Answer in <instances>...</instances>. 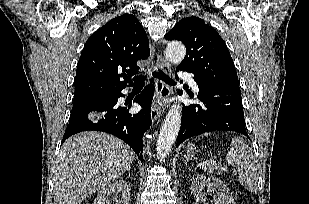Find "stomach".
<instances>
[{
  "label": "stomach",
  "mask_w": 309,
  "mask_h": 204,
  "mask_svg": "<svg viewBox=\"0 0 309 204\" xmlns=\"http://www.w3.org/2000/svg\"><path fill=\"white\" fill-rule=\"evenodd\" d=\"M195 151V146L192 144V143H188L186 146H185V152L187 154H190V153H194Z\"/></svg>",
  "instance_id": "1"
}]
</instances>
